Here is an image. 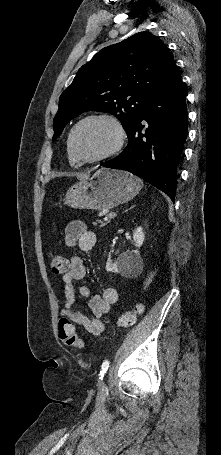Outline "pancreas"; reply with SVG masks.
<instances>
[{
    "instance_id": "pancreas-1",
    "label": "pancreas",
    "mask_w": 221,
    "mask_h": 455,
    "mask_svg": "<svg viewBox=\"0 0 221 455\" xmlns=\"http://www.w3.org/2000/svg\"><path fill=\"white\" fill-rule=\"evenodd\" d=\"M97 222L100 224V226H105L107 224V222L102 220H98Z\"/></svg>"
}]
</instances>
